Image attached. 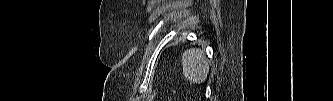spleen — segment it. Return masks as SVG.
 Masks as SVG:
<instances>
[{
	"label": "spleen",
	"mask_w": 333,
	"mask_h": 101,
	"mask_svg": "<svg viewBox=\"0 0 333 101\" xmlns=\"http://www.w3.org/2000/svg\"><path fill=\"white\" fill-rule=\"evenodd\" d=\"M183 74L187 80L194 84L203 83L209 73V62L204 51L192 48L184 52L182 57Z\"/></svg>",
	"instance_id": "spleen-1"
}]
</instances>
